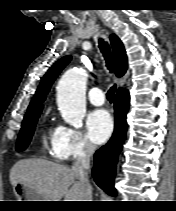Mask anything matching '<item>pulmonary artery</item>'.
<instances>
[{
  "mask_svg": "<svg viewBox=\"0 0 176 211\" xmlns=\"http://www.w3.org/2000/svg\"><path fill=\"white\" fill-rule=\"evenodd\" d=\"M89 101L95 106H102L105 102V95L102 89L95 87L92 88L88 95Z\"/></svg>",
  "mask_w": 176,
  "mask_h": 211,
  "instance_id": "1",
  "label": "pulmonary artery"
}]
</instances>
